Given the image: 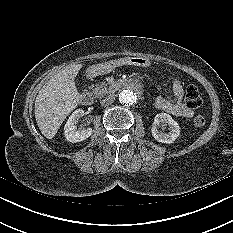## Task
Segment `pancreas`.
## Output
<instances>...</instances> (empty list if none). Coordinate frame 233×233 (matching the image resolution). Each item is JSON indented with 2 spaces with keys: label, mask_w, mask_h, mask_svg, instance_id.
<instances>
[{
  "label": "pancreas",
  "mask_w": 233,
  "mask_h": 233,
  "mask_svg": "<svg viewBox=\"0 0 233 233\" xmlns=\"http://www.w3.org/2000/svg\"><path fill=\"white\" fill-rule=\"evenodd\" d=\"M114 89L111 86H108L106 82H99L95 85L93 89V94L96 98H102L106 94L112 93Z\"/></svg>",
  "instance_id": "cf45deb5"
}]
</instances>
